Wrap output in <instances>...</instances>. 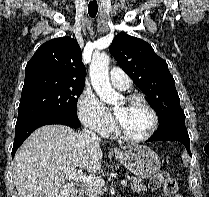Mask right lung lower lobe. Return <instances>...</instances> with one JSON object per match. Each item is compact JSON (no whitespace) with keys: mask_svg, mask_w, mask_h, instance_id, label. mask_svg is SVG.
Segmentation results:
<instances>
[{"mask_svg":"<svg viewBox=\"0 0 209 197\" xmlns=\"http://www.w3.org/2000/svg\"><path fill=\"white\" fill-rule=\"evenodd\" d=\"M49 124H63L72 128H78L81 125L78 117L61 113H45L17 121L12 157H14L17 149L35 129Z\"/></svg>","mask_w":209,"mask_h":197,"instance_id":"98d812e1","label":"right lung lower lobe"}]
</instances>
